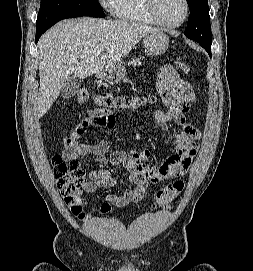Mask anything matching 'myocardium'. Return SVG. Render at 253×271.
Listing matches in <instances>:
<instances>
[{"label":"myocardium","mask_w":253,"mask_h":271,"mask_svg":"<svg viewBox=\"0 0 253 271\" xmlns=\"http://www.w3.org/2000/svg\"><path fill=\"white\" fill-rule=\"evenodd\" d=\"M183 2H184V6H185V13H184V16L181 19V21L176 24L167 23L160 17L158 10H157V0H146V5H147V9H148L150 15L159 25L166 27V28H178L186 22V20L189 17V13H190L189 1L183 0Z\"/></svg>","instance_id":"1"}]
</instances>
